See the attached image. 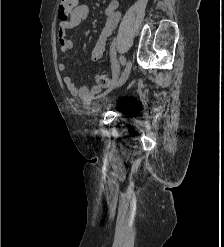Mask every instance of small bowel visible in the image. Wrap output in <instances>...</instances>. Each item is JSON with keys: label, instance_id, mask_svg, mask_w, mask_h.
Returning a JSON list of instances; mask_svg holds the SVG:
<instances>
[{"label": "small bowel", "instance_id": "c3829d8e", "mask_svg": "<svg viewBox=\"0 0 224 247\" xmlns=\"http://www.w3.org/2000/svg\"><path fill=\"white\" fill-rule=\"evenodd\" d=\"M118 8V0H112L105 8L106 22L104 27L100 31L97 39L95 40L90 53V57L93 61L101 59L104 54L108 39L113 30L116 28L121 17V13ZM89 14L90 10L87 5H78L69 19L65 23L60 25L57 33V41L59 43L60 50L63 53L69 52L73 47L72 41L66 35L67 30L77 28L81 24V22L88 18ZM58 69L61 72H65L67 67L65 64L60 63L58 65ZM63 82L70 92L71 96L77 100H90L97 94H99L102 90V87L100 85H95L92 88L84 86L78 89L75 86L72 78L69 76H64Z\"/></svg>", "mask_w": 224, "mask_h": 247}]
</instances>
